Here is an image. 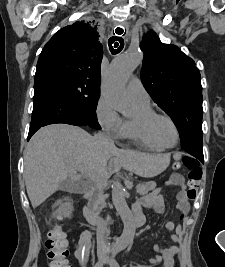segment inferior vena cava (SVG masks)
I'll use <instances>...</instances> for the list:
<instances>
[{
  "label": "inferior vena cava",
  "instance_id": "1",
  "mask_svg": "<svg viewBox=\"0 0 225 267\" xmlns=\"http://www.w3.org/2000/svg\"><path fill=\"white\" fill-rule=\"evenodd\" d=\"M94 139L96 142L103 144V145H113V140L110 138L109 134L106 132H99L94 136ZM106 181V176L103 173H99V175L96 177L95 181V200L94 202L97 204V209H100L104 205V199H103V193H102V187L104 182ZM106 236L102 233L99 236V243L104 245L106 242Z\"/></svg>",
  "mask_w": 225,
  "mask_h": 267
}]
</instances>
